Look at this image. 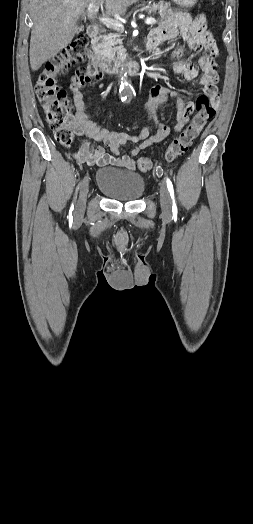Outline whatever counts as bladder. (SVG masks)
<instances>
[{"mask_svg":"<svg viewBox=\"0 0 253 524\" xmlns=\"http://www.w3.org/2000/svg\"><path fill=\"white\" fill-rule=\"evenodd\" d=\"M97 188L108 199L135 201L144 193L145 180L137 172L106 167L98 170Z\"/></svg>","mask_w":253,"mask_h":524,"instance_id":"31cf9c89","label":"bladder"}]
</instances>
